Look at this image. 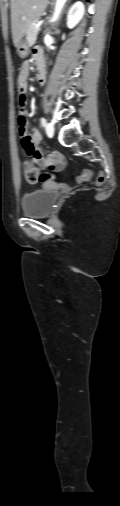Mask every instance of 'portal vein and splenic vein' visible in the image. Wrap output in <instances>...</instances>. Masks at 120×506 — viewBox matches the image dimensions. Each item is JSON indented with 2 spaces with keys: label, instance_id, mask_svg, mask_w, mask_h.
<instances>
[{
  "label": "portal vein and splenic vein",
  "instance_id": "18ae733b",
  "mask_svg": "<svg viewBox=\"0 0 120 506\" xmlns=\"http://www.w3.org/2000/svg\"><path fill=\"white\" fill-rule=\"evenodd\" d=\"M42 22H39L35 25V29L36 30H40V26H41Z\"/></svg>",
  "mask_w": 120,
  "mask_h": 506
}]
</instances>
